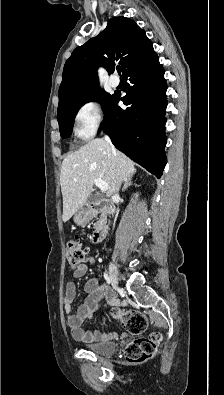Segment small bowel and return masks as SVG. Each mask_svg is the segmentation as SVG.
<instances>
[{
	"label": "small bowel",
	"mask_w": 224,
	"mask_h": 395,
	"mask_svg": "<svg viewBox=\"0 0 224 395\" xmlns=\"http://www.w3.org/2000/svg\"><path fill=\"white\" fill-rule=\"evenodd\" d=\"M93 263V258H89ZM88 267L80 264L74 271L75 278H81L86 275ZM85 298L83 303L73 312L72 305L76 297V285L73 281L67 283L63 306L66 312L67 325L72 337L81 342H96L116 337V334H106L99 330L89 331L83 328V323L92 317L94 312L99 309L98 302L103 296L110 303L115 302V295L111 290L103 288L97 278L89 279L84 285Z\"/></svg>",
	"instance_id": "small-bowel-1"
}]
</instances>
